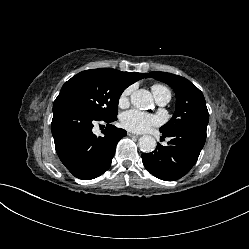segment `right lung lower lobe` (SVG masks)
Returning a JSON list of instances; mask_svg holds the SVG:
<instances>
[{"instance_id":"obj_1","label":"right lung lower lobe","mask_w":249,"mask_h":249,"mask_svg":"<svg viewBox=\"0 0 249 249\" xmlns=\"http://www.w3.org/2000/svg\"><path fill=\"white\" fill-rule=\"evenodd\" d=\"M117 117L99 119L66 102H54L51 131L61 162L77 178L94 179L111 165L115 148L127 135L111 125ZM96 121L106 123L102 136L92 132Z\"/></svg>"}]
</instances>
